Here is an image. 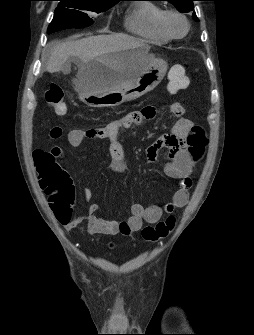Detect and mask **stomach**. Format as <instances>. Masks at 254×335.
<instances>
[{"label": "stomach", "mask_w": 254, "mask_h": 335, "mask_svg": "<svg viewBox=\"0 0 254 335\" xmlns=\"http://www.w3.org/2000/svg\"><path fill=\"white\" fill-rule=\"evenodd\" d=\"M167 63L149 54L145 45L124 49L108 59H95L89 64L88 75L75 81L79 98L93 108L116 107L135 100L153 90L163 79ZM118 90H105L110 76L118 72H135Z\"/></svg>", "instance_id": "stomach-1"}]
</instances>
